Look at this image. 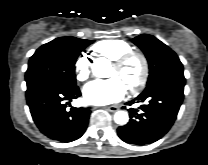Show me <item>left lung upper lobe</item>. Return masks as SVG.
<instances>
[{
  "mask_svg": "<svg viewBox=\"0 0 208 165\" xmlns=\"http://www.w3.org/2000/svg\"><path fill=\"white\" fill-rule=\"evenodd\" d=\"M144 52L149 63V78L146 89L169 78H184L183 65L178 56L152 35L142 34L133 39Z\"/></svg>",
  "mask_w": 208,
  "mask_h": 165,
  "instance_id": "1",
  "label": "left lung upper lobe"
}]
</instances>
